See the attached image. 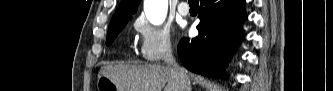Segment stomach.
<instances>
[{
    "mask_svg": "<svg viewBox=\"0 0 333 91\" xmlns=\"http://www.w3.org/2000/svg\"><path fill=\"white\" fill-rule=\"evenodd\" d=\"M98 91H122L111 79L100 76L97 80Z\"/></svg>",
    "mask_w": 333,
    "mask_h": 91,
    "instance_id": "obj_1",
    "label": "stomach"
}]
</instances>
